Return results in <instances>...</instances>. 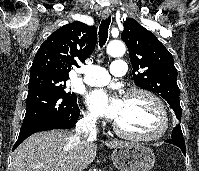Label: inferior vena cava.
I'll return each mask as SVG.
<instances>
[{
	"label": "inferior vena cava",
	"instance_id": "obj_1",
	"mask_svg": "<svg viewBox=\"0 0 199 171\" xmlns=\"http://www.w3.org/2000/svg\"><path fill=\"white\" fill-rule=\"evenodd\" d=\"M97 136L96 118L92 116H85L76 123L75 137L83 142L95 140ZM84 166L79 164L76 171H82Z\"/></svg>",
	"mask_w": 199,
	"mask_h": 171
}]
</instances>
